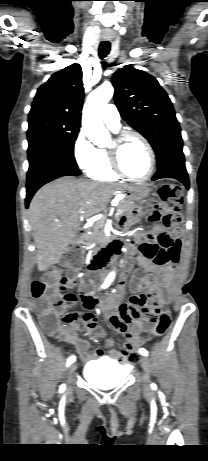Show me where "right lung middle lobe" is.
Listing matches in <instances>:
<instances>
[{
    "label": "right lung middle lobe",
    "mask_w": 208,
    "mask_h": 461,
    "mask_svg": "<svg viewBox=\"0 0 208 461\" xmlns=\"http://www.w3.org/2000/svg\"><path fill=\"white\" fill-rule=\"evenodd\" d=\"M29 169L48 160H60L78 167L73 148L80 124L49 118L28 120Z\"/></svg>",
    "instance_id": "right-lung-middle-lobe-1"
}]
</instances>
